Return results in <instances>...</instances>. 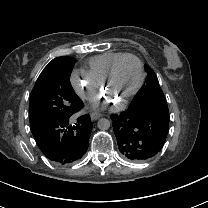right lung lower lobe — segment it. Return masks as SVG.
I'll return each instance as SVG.
<instances>
[{
  "label": "right lung lower lobe",
  "instance_id": "obj_1",
  "mask_svg": "<svg viewBox=\"0 0 208 208\" xmlns=\"http://www.w3.org/2000/svg\"><path fill=\"white\" fill-rule=\"evenodd\" d=\"M82 106L83 104L81 108ZM75 113L30 123L32 134L42 153L56 164L76 162L88 149L93 125L88 114L80 116L72 124Z\"/></svg>",
  "mask_w": 208,
  "mask_h": 208
}]
</instances>
